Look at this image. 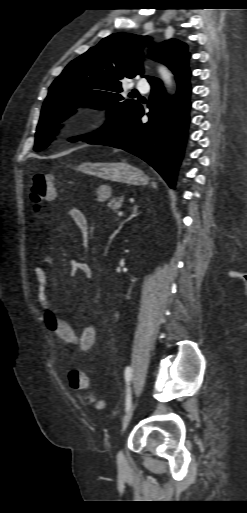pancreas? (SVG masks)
Listing matches in <instances>:
<instances>
[{
  "mask_svg": "<svg viewBox=\"0 0 247 513\" xmlns=\"http://www.w3.org/2000/svg\"><path fill=\"white\" fill-rule=\"evenodd\" d=\"M122 206V201L120 198H113L109 203H108V207L111 208V210L114 212V213H117L119 211V209L121 208Z\"/></svg>",
  "mask_w": 247,
  "mask_h": 513,
  "instance_id": "pancreas-1",
  "label": "pancreas"
}]
</instances>
